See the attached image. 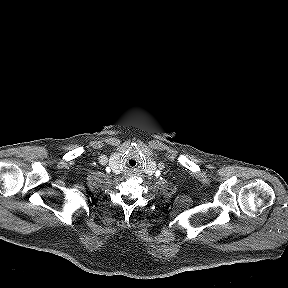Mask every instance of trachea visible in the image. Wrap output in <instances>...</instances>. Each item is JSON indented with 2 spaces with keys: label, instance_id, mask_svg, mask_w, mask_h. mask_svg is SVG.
Masks as SVG:
<instances>
[{
  "label": "trachea",
  "instance_id": "trachea-1",
  "mask_svg": "<svg viewBox=\"0 0 288 288\" xmlns=\"http://www.w3.org/2000/svg\"><path fill=\"white\" fill-rule=\"evenodd\" d=\"M140 163L139 155L135 153L134 151H130L129 154L127 155L125 164L129 168H136Z\"/></svg>",
  "mask_w": 288,
  "mask_h": 288
}]
</instances>
